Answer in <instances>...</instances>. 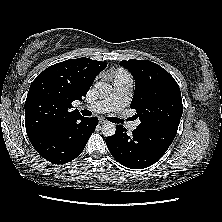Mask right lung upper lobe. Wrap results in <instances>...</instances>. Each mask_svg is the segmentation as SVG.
Masks as SVG:
<instances>
[{"instance_id": "cb5924a9", "label": "right lung upper lobe", "mask_w": 222, "mask_h": 222, "mask_svg": "<svg viewBox=\"0 0 222 222\" xmlns=\"http://www.w3.org/2000/svg\"><path fill=\"white\" fill-rule=\"evenodd\" d=\"M106 63L77 58L54 64L31 83L25 101V126L28 137L48 127L79 119L72 102L86 96L96 76Z\"/></svg>"}]
</instances>
